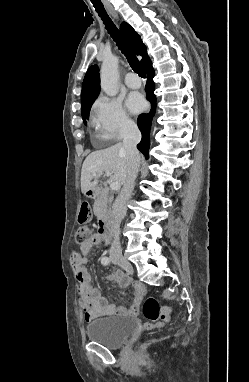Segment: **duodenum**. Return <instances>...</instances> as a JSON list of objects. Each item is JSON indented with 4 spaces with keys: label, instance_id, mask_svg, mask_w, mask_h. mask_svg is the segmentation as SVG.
Listing matches in <instances>:
<instances>
[{
    "label": "duodenum",
    "instance_id": "duodenum-1",
    "mask_svg": "<svg viewBox=\"0 0 249 382\" xmlns=\"http://www.w3.org/2000/svg\"><path fill=\"white\" fill-rule=\"evenodd\" d=\"M90 189H92L93 193H94V196L92 198H95L96 196V193H97V188L96 187H91ZM98 229H99V232L105 237L107 238L108 240L112 237L113 235V232H114V225H113V222L108 220V219H101L99 222H98Z\"/></svg>",
    "mask_w": 249,
    "mask_h": 382
}]
</instances>
